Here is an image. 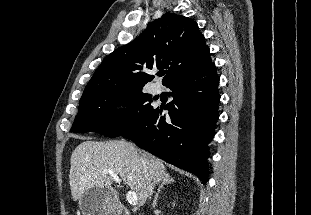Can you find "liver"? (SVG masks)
I'll list each match as a JSON object with an SVG mask.
<instances>
[{
    "label": "liver",
    "mask_w": 311,
    "mask_h": 215,
    "mask_svg": "<svg viewBox=\"0 0 311 215\" xmlns=\"http://www.w3.org/2000/svg\"><path fill=\"white\" fill-rule=\"evenodd\" d=\"M70 164L69 184L74 201L90 188H112V177L103 173L107 169L121 177L124 184L136 193L139 206H143L148 198L149 185L158 184L167 174L160 159L124 140L84 141L73 151ZM113 191L118 201L117 192Z\"/></svg>",
    "instance_id": "1"
}]
</instances>
